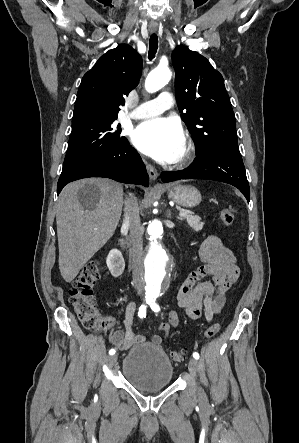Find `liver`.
<instances>
[{"label": "liver", "instance_id": "obj_1", "mask_svg": "<svg viewBox=\"0 0 299 443\" xmlns=\"http://www.w3.org/2000/svg\"><path fill=\"white\" fill-rule=\"evenodd\" d=\"M123 205L121 184L88 178L64 187L56 207L59 270L71 282L114 234Z\"/></svg>", "mask_w": 299, "mask_h": 443}]
</instances>
